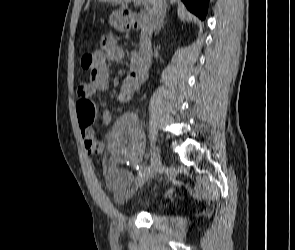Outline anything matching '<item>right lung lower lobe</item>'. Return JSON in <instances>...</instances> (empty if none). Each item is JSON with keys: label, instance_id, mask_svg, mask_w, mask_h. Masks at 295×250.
Returning a JSON list of instances; mask_svg holds the SVG:
<instances>
[{"label": "right lung lower lobe", "instance_id": "right-lung-lower-lobe-1", "mask_svg": "<svg viewBox=\"0 0 295 250\" xmlns=\"http://www.w3.org/2000/svg\"><path fill=\"white\" fill-rule=\"evenodd\" d=\"M186 7L201 19H204L207 13L208 0H182Z\"/></svg>", "mask_w": 295, "mask_h": 250}]
</instances>
